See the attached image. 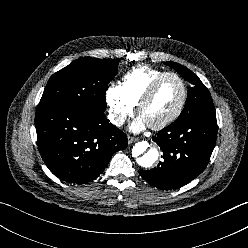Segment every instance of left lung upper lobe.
Segmentation results:
<instances>
[{
    "label": "left lung upper lobe",
    "mask_w": 248,
    "mask_h": 248,
    "mask_svg": "<svg viewBox=\"0 0 248 248\" xmlns=\"http://www.w3.org/2000/svg\"><path fill=\"white\" fill-rule=\"evenodd\" d=\"M164 63L175 69L189 83L185 107L175 123L199 116L215 114L210 92L201 80L193 72L180 64L174 62Z\"/></svg>",
    "instance_id": "obj_1"
}]
</instances>
